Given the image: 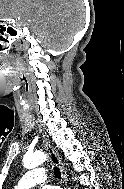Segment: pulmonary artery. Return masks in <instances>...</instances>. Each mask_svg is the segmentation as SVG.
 Here are the masks:
<instances>
[{
  "label": "pulmonary artery",
  "mask_w": 124,
  "mask_h": 189,
  "mask_svg": "<svg viewBox=\"0 0 124 189\" xmlns=\"http://www.w3.org/2000/svg\"><path fill=\"white\" fill-rule=\"evenodd\" d=\"M46 179V170L44 168H36L23 175L15 187L18 189H29L39 183L45 182Z\"/></svg>",
  "instance_id": "e3ab8cb5"
}]
</instances>
